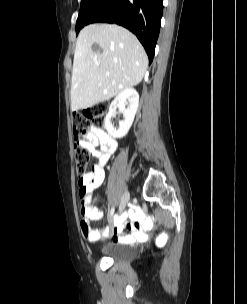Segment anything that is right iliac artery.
Segmentation results:
<instances>
[{"instance_id":"obj_1","label":"right iliac artery","mask_w":247,"mask_h":304,"mask_svg":"<svg viewBox=\"0 0 247 304\" xmlns=\"http://www.w3.org/2000/svg\"><path fill=\"white\" fill-rule=\"evenodd\" d=\"M113 214H114V208H112L111 211H110V217L111 218L113 217Z\"/></svg>"}]
</instances>
